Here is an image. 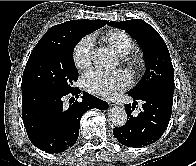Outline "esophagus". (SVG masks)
<instances>
[{"mask_svg": "<svg viewBox=\"0 0 196 166\" xmlns=\"http://www.w3.org/2000/svg\"><path fill=\"white\" fill-rule=\"evenodd\" d=\"M110 106H117L118 103L116 101H109L108 102Z\"/></svg>", "mask_w": 196, "mask_h": 166, "instance_id": "1", "label": "esophagus"}]
</instances>
